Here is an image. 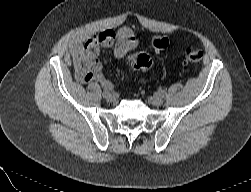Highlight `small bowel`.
I'll use <instances>...</instances> for the list:
<instances>
[{
	"label": "small bowel",
	"instance_id": "c3829d8e",
	"mask_svg": "<svg viewBox=\"0 0 251 192\" xmlns=\"http://www.w3.org/2000/svg\"><path fill=\"white\" fill-rule=\"evenodd\" d=\"M136 40L128 28H122L116 33L103 30L87 38L83 44L73 46L75 77L82 83L98 81L106 89L111 88V82L102 74L101 64L97 60L100 48L113 46L114 55L123 58L134 48Z\"/></svg>",
	"mask_w": 251,
	"mask_h": 192
}]
</instances>
